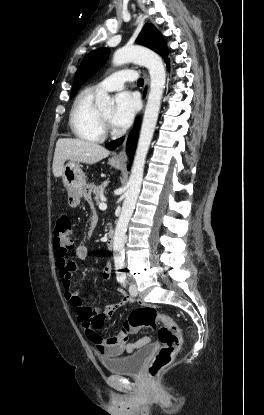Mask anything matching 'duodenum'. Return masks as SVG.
Segmentation results:
<instances>
[{
	"instance_id": "obj_1",
	"label": "duodenum",
	"mask_w": 264,
	"mask_h": 415,
	"mask_svg": "<svg viewBox=\"0 0 264 415\" xmlns=\"http://www.w3.org/2000/svg\"><path fill=\"white\" fill-rule=\"evenodd\" d=\"M96 223H97V221L94 218L90 221V225L92 227H94L96 225ZM114 240H115L114 229L111 226H109L108 233H107L106 240H105L106 246L109 250L114 249Z\"/></svg>"
}]
</instances>
